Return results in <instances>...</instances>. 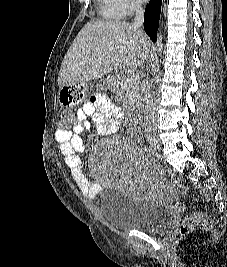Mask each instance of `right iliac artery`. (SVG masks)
<instances>
[{
	"label": "right iliac artery",
	"instance_id": "obj_1",
	"mask_svg": "<svg viewBox=\"0 0 227 267\" xmlns=\"http://www.w3.org/2000/svg\"><path fill=\"white\" fill-rule=\"evenodd\" d=\"M148 153H149V155H154L155 151H154V149L152 147H149L148 148Z\"/></svg>",
	"mask_w": 227,
	"mask_h": 267
}]
</instances>
